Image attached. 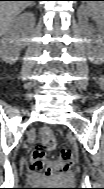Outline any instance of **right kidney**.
<instances>
[{"label":"right kidney","instance_id":"obj_1","mask_svg":"<svg viewBox=\"0 0 104 189\" xmlns=\"http://www.w3.org/2000/svg\"><path fill=\"white\" fill-rule=\"evenodd\" d=\"M34 23L32 13H24L12 22L0 40V56L3 61L13 64L19 59L20 51L28 41L23 34V28L32 27Z\"/></svg>","mask_w":104,"mask_h":189}]
</instances>
